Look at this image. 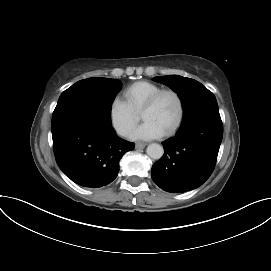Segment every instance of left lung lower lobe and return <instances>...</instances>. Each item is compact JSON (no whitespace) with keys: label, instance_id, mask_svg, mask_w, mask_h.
<instances>
[{"label":"left lung lower lobe","instance_id":"1","mask_svg":"<svg viewBox=\"0 0 271 271\" xmlns=\"http://www.w3.org/2000/svg\"><path fill=\"white\" fill-rule=\"evenodd\" d=\"M223 136L219 113L199 115L182 123L164 142V155L152 166L153 181L163 190L181 193L201 186L211 175Z\"/></svg>","mask_w":271,"mask_h":271}]
</instances>
